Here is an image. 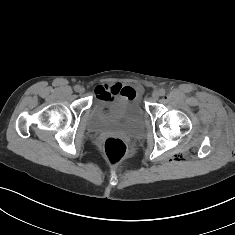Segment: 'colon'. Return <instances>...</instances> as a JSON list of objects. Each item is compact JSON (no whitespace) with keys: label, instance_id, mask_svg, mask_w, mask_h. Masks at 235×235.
I'll return each instance as SVG.
<instances>
[{"label":"colon","instance_id":"1","mask_svg":"<svg viewBox=\"0 0 235 235\" xmlns=\"http://www.w3.org/2000/svg\"><path fill=\"white\" fill-rule=\"evenodd\" d=\"M104 153L111 165H117L123 162L127 157V146L124 141L118 137H109L105 140Z\"/></svg>","mask_w":235,"mask_h":235}]
</instances>
